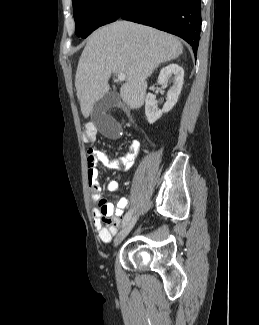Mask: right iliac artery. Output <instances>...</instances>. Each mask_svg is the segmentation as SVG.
Returning <instances> with one entry per match:
<instances>
[{
  "label": "right iliac artery",
  "instance_id": "82829eb1",
  "mask_svg": "<svg viewBox=\"0 0 259 325\" xmlns=\"http://www.w3.org/2000/svg\"><path fill=\"white\" fill-rule=\"evenodd\" d=\"M132 212L133 210L130 209L124 216L123 218V222H122V227L125 226L127 224V222L130 220L131 216H132Z\"/></svg>",
  "mask_w": 259,
  "mask_h": 325
}]
</instances>
